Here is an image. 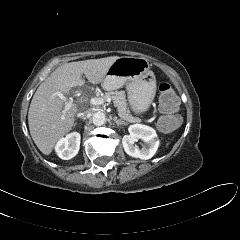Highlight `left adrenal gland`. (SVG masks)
Here are the masks:
<instances>
[{
  "instance_id": "a2214340",
  "label": "left adrenal gland",
  "mask_w": 240,
  "mask_h": 240,
  "mask_svg": "<svg viewBox=\"0 0 240 240\" xmlns=\"http://www.w3.org/2000/svg\"><path fill=\"white\" fill-rule=\"evenodd\" d=\"M113 120L115 121V123L117 124V126L120 125H127V123L121 119H118L117 117H114Z\"/></svg>"
}]
</instances>
